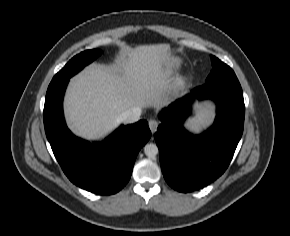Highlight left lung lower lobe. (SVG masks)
I'll use <instances>...</instances> for the list:
<instances>
[{"instance_id": "left-lung-lower-lobe-1", "label": "left lung lower lobe", "mask_w": 290, "mask_h": 236, "mask_svg": "<svg viewBox=\"0 0 290 236\" xmlns=\"http://www.w3.org/2000/svg\"><path fill=\"white\" fill-rule=\"evenodd\" d=\"M193 98L212 99L217 104L213 125L200 135H193L182 126ZM244 116L243 92L237 77L206 83L164 109L159 115L162 123L155 140L166 182L186 193L221 176L242 136Z\"/></svg>"}]
</instances>
